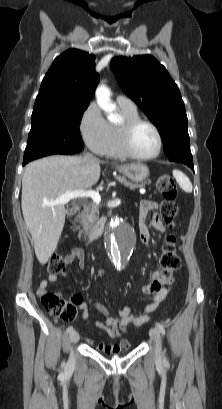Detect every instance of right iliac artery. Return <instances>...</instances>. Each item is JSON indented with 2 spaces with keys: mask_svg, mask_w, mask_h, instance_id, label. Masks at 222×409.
Here are the masks:
<instances>
[{
  "mask_svg": "<svg viewBox=\"0 0 222 409\" xmlns=\"http://www.w3.org/2000/svg\"><path fill=\"white\" fill-rule=\"evenodd\" d=\"M72 331H73V327H72V326H69V327L67 328V330H66L67 333H70V332H72Z\"/></svg>",
  "mask_w": 222,
  "mask_h": 409,
  "instance_id": "82829eb1",
  "label": "right iliac artery"
}]
</instances>
